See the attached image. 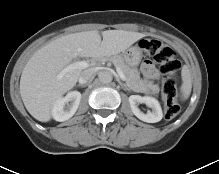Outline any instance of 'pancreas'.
I'll return each instance as SVG.
<instances>
[{"instance_id":"1","label":"pancreas","mask_w":219,"mask_h":174,"mask_svg":"<svg viewBox=\"0 0 219 174\" xmlns=\"http://www.w3.org/2000/svg\"><path fill=\"white\" fill-rule=\"evenodd\" d=\"M107 59L113 62L115 66H119L121 68L125 75L126 84L130 89L137 92H159L158 85H154L152 81L141 79L138 70L127 65L124 58L120 55L108 56Z\"/></svg>"}]
</instances>
